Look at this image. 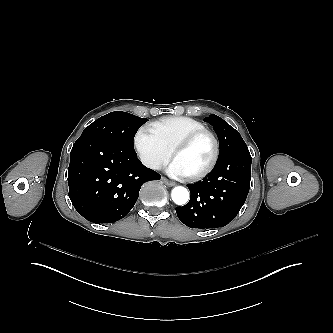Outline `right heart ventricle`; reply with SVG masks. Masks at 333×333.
Listing matches in <instances>:
<instances>
[{"label": "right heart ventricle", "instance_id": "e07e8e85", "mask_svg": "<svg viewBox=\"0 0 333 333\" xmlns=\"http://www.w3.org/2000/svg\"><path fill=\"white\" fill-rule=\"evenodd\" d=\"M147 133L163 142L170 150L184 136L196 130L206 129L205 125L186 116H168L149 123Z\"/></svg>", "mask_w": 333, "mask_h": 333}]
</instances>
